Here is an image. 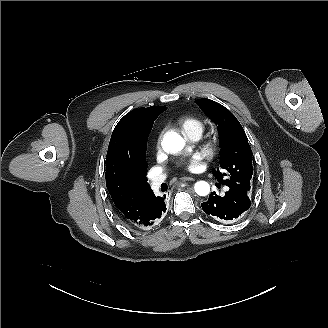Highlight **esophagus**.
Listing matches in <instances>:
<instances>
[{
	"label": "esophagus",
	"mask_w": 328,
	"mask_h": 328,
	"mask_svg": "<svg viewBox=\"0 0 328 328\" xmlns=\"http://www.w3.org/2000/svg\"><path fill=\"white\" fill-rule=\"evenodd\" d=\"M180 181H194V178H192V177H181Z\"/></svg>",
	"instance_id": "1"
}]
</instances>
